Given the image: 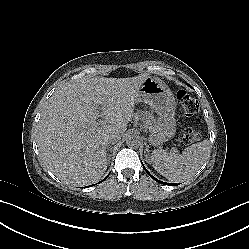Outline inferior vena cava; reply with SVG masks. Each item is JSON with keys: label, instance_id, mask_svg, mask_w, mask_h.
<instances>
[{"label": "inferior vena cava", "instance_id": "602c4592", "mask_svg": "<svg viewBox=\"0 0 249 249\" xmlns=\"http://www.w3.org/2000/svg\"><path fill=\"white\" fill-rule=\"evenodd\" d=\"M120 139V136L117 135V134H111V135H108L106 137V142L107 143H111V142H114V141H118Z\"/></svg>", "mask_w": 249, "mask_h": 249}]
</instances>
